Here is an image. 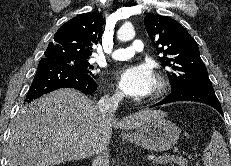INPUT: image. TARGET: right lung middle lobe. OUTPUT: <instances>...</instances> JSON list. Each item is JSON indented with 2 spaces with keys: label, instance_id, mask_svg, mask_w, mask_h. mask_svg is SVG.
I'll list each match as a JSON object with an SVG mask.
<instances>
[{
  "label": "right lung middle lobe",
  "instance_id": "dd1d6c3e",
  "mask_svg": "<svg viewBox=\"0 0 231 166\" xmlns=\"http://www.w3.org/2000/svg\"><path fill=\"white\" fill-rule=\"evenodd\" d=\"M88 59L89 58L57 57L54 60L64 64H68L75 69L81 71L82 73L94 76L91 72V69H93L94 67L90 66Z\"/></svg>",
  "mask_w": 231,
  "mask_h": 166
}]
</instances>
